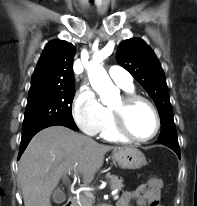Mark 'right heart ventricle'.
Returning a JSON list of instances; mask_svg holds the SVG:
<instances>
[{
  "instance_id": "obj_1",
  "label": "right heart ventricle",
  "mask_w": 197,
  "mask_h": 206,
  "mask_svg": "<svg viewBox=\"0 0 197 206\" xmlns=\"http://www.w3.org/2000/svg\"><path fill=\"white\" fill-rule=\"evenodd\" d=\"M123 88V87H122ZM125 91H127L128 93H132L133 92V88L132 87H128V88H123ZM100 136L107 140V141H121L123 138L117 133L114 124H113V120H112V116H111V112L109 109L106 108V117L105 120L99 130Z\"/></svg>"
}]
</instances>
